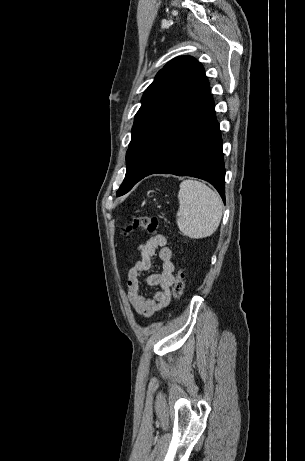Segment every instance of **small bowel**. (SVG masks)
I'll use <instances>...</instances> for the list:
<instances>
[{
	"label": "small bowel",
	"instance_id": "obj_1",
	"mask_svg": "<svg viewBox=\"0 0 305 461\" xmlns=\"http://www.w3.org/2000/svg\"><path fill=\"white\" fill-rule=\"evenodd\" d=\"M140 259L129 269L127 295L133 310L140 316L150 317L168 305L170 287L174 281L175 265L172 250L167 246L163 235H154L137 247ZM158 253L161 271L150 273L154 255ZM156 287L151 297L146 296L141 288L144 285Z\"/></svg>",
	"mask_w": 305,
	"mask_h": 461
}]
</instances>
